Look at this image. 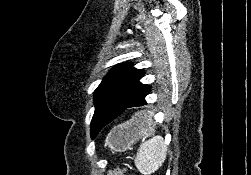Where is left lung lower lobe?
<instances>
[{
    "label": "left lung lower lobe",
    "mask_w": 251,
    "mask_h": 175,
    "mask_svg": "<svg viewBox=\"0 0 251 175\" xmlns=\"http://www.w3.org/2000/svg\"><path fill=\"white\" fill-rule=\"evenodd\" d=\"M150 92V86L140 84L134 91L130 100L125 104L112 103L104 106L98 111V119H100L105 126L113 120L124 117H146L151 114L148 108L141 107L147 105L145 101L146 95Z\"/></svg>",
    "instance_id": "0a47b994"
}]
</instances>
